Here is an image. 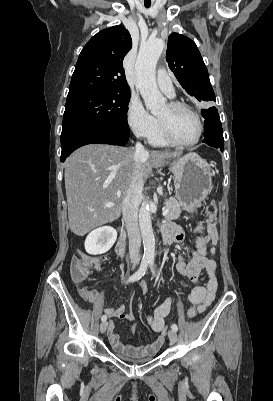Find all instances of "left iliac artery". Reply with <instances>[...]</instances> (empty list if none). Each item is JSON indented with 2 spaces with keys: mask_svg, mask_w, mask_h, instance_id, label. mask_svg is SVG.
<instances>
[{
  "mask_svg": "<svg viewBox=\"0 0 273 401\" xmlns=\"http://www.w3.org/2000/svg\"><path fill=\"white\" fill-rule=\"evenodd\" d=\"M150 268L152 270V273L155 274V270H154V258L150 259ZM172 330H174L175 332L178 331V326L176 324H172L171 326Z\"/></svg>",
  "mask_w": 273,
  "mask_h": 401,
  "instance_id": "obj_1",
  "label": "left iliac artery"
}]
</instances>
